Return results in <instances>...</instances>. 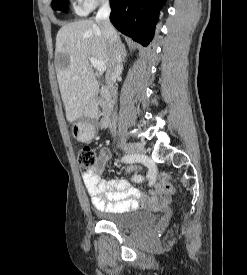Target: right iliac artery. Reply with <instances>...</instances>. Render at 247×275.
<instances>
[{
  "label": "right iliac artery",
  "mask_w": 247,
  "mask_h": 275,
  "mask_svg": "<svg viewBox=\"0 0 247 275\" xmlns=\"http://www.w3.org/2000/svg\"><path fill=\"white\" fill-rule=\"evenodd\" d=\"M122 161L125 163H136L143 162V164H147L146 168L148 169L146 180H155L156 174H158V169L156 164H152V159L150 157H146V154H127L122 157ZM144 178L141 175H135L133 177L134 182H141Z\"/></svg>",
  "instance_id": "82829eb1"
}]
</instances>
